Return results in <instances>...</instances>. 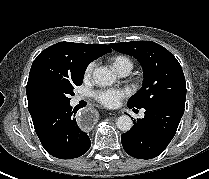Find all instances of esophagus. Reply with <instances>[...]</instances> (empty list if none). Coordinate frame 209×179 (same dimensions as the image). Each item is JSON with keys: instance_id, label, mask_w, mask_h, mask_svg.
Masks as SVG:
<instances>
[{"instance_id": "34e87169", "label": "esophagus", "mask_w": 209, "mask_h": 179, "mask_svg": "<svg viewBox=\"0 0 209 179\" xmlns=\"http://www.w3.org/2000/svg\"><path fill=\"white\" fill-rule=\"evenodd\" d=\"M76 121L81 129L90 130L98 121V113L92 107H85L77 112Z\"/></svg>"}]
</instances>
